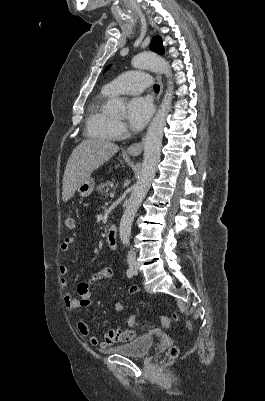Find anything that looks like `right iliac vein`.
I'll list each match as a JSON object with an SVG mask.
<instances>
[{
  "label": "right iliac vein",
  "instance_id": "1",
  "mask_svg": "<svg viewBox=\"0 0 265 401\" xmlns=\"http://www.w3.org/2000/svg\"><path fill=\"white\" fill-rule=\"evenodd\" d=\"M131 267H134V264H131Z\"/></svg>",
  "mask_w": 265,
  "mask_h": 401
}]
</instances>
